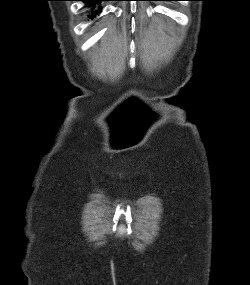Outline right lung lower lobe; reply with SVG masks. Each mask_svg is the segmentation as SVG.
I'll list each match as a JSON object with an SVG mask.
<instances>
[{"label":"right lung lower lobe","mask_w":250,"mask_h":285,"mask_svg":"<svg viewBox=\"0 0 250 285\" xmlns=\"http://www.w3.org/2000/svg\"><path fill=\"white\" fill-rule=\"evenodd\" d=\"M80 1H88L91 5L92 8H94L95 3L99 4L101 1H105V0H80ZM101 11V9L97 10V13H99ZM95 16L94 13H92V15L90 16V18H93Z\"/></svg>","instance_id":"right-lung-lower-lobe-1"}]
</instances>
